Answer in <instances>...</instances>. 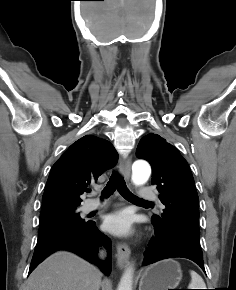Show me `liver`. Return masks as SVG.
<instances>
[{
	"label": "liver",
	"instance_id": "6515ba94",
	"mask_svg": "<svg viewBox=\"0 0 236 290\" xmlns=\"http://www.w3.org/2000/svg\"><path fill=\"white\" fill-rule=\"evenodd\" d=\"M112 290L109 279L101 281L96 267L77 255L58 251L31 273L26 290Z\"/></svg>",
	"mask_w": 236,
	"mask_h": 290
}]
</instances>
